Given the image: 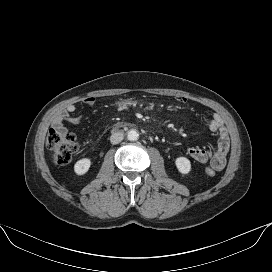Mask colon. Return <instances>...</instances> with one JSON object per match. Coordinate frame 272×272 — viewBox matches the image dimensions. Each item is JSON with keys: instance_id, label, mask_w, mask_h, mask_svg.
Returning a JSON list of instances; mask_svg holds the SVG:
<instances>
[{"instance_id": "1", "label": "colon", "mask_w": 272, "mask_h": 272, "mask_svg": "<svg viewBox=\"0 0 272 272\" xmlns=\"http://www.w3.org/2000/svg\"><path fill=\"white\" fill-rule=\"evenodd\" d=\"M46 145L50 151L52 161L57 165L68 163L77 150V140L74 134L60 133L55 129H50ZM205 173L208 176L216 174L212 167H207Z\"/></svg>"}]
</instances>
